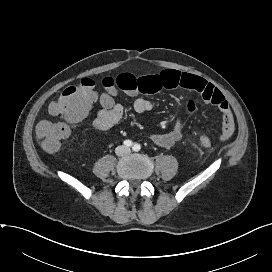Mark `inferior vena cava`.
<instances>
[{
    "label": "inferior vena cava",
    "mask_w": 272,
    "mask_h": 272,
    "mask_svg": "<svg viewBox=\"0 0 272 272\" xmlns=\"http://www.w3.org/2000/svg\"><path fill=\"white\" fill-rule=\"evenodd\" d=\"M122 153H129L130 152V149H128L127 147H122Z\"/></svg>",
    "instance_id": "602c4592"
}]
</instances>
